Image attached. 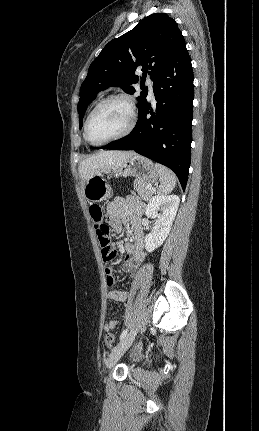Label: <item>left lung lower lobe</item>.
Masks as SVG:
<instances>
[{"label": "left lung lower lobe", "mask_w": 259, "mask_h": 431, "mask_svg": "<svg viewBox=\"0 0 259 431\" xmlns=\"http://www.w3.org/2000/svg\"><path fill=\"white\" fill-rule=\"evenodd\" d=\"M193 79L191 59L182 40L153 80L156 109L145 100L133 131L102 148L134 150L169 167L185 190L191 158ZM148 114L152 116L147 118Z\"/></svg>", "instance_id": "left-lung-lower-lobe-1"}]
</instances>
